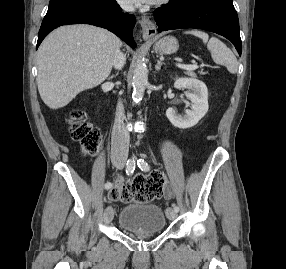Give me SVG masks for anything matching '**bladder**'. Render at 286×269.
<instances>
[{
    "instance_id": "31cf9c89",
    "label": "bladder",
    "mask_w": 286,
    "mask_h": 269,
    "mask_svg": "<svg viewBox=\"0 0 286 269\" xmlns=\"http://www.w3.org/2000/svg\"><path fill=\"white\" fill-rule=\"evenodd\" d=\"M118 225L130 233H160L166 229V214L158 205L129 203L121 209Z\"/></svg>"
}]
</instances>
